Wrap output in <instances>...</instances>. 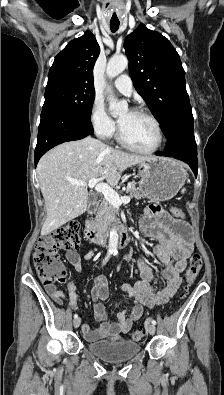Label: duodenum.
I'll return each instance as SVG.
<instances>
[{
  "instance_id": "duodenum-1",
  "label": "duodenum",
  "mask_w": 224,
  "mask_h": 395,
  "mask_svg": "<svg viewBox=\"0 0 224 395\" xmlns=\"http://www.w3.org/2000/svg\"><path fill=\"white\" fill-rule=\"evenodd\" d=\"M96 205L97 200L92 201L87 209V213L92 214ZM110 230L115 231L119 234V245L121 247H125L128 245L130 240V231L127 226L121 227L120 224L114 223L112 224ZM84 233L86 239L94 244L100 245L103 242L104 233L101 229L95 226H87Z\"/></svg>"
}]
</instances>
